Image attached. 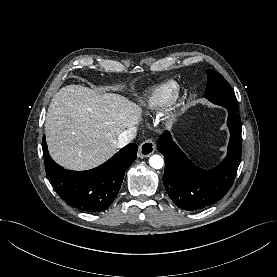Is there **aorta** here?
Masks as SVG:
<instances>
[{"mask_svg":"<svg viewBox=\"0 0 277 277\" xmlns=\"http://www.w3.org/2000/svg\"><path fill=\"white\" fill-rule=\"evenodd\" d=\"M149 163L154 169H161L164 165L163 158L159 155H152L149 159Z\"/></svg>","mask_w":277,"mask_h":277,"instance_id":"1","label":"aorta"}]
</instances>
